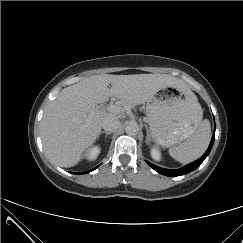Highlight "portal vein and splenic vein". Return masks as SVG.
Listing matches in <instances>:
<instances>
[{"instance_id": "1", "label": "portal vein and splenic vein", "mask_w": 243, "mask_h": 243, "mask_svg": "<svg viewBox=\"0 0 243 243\" xmlns=\"http://www.w3.org/2000/svg\"><path fill=\"white\" fill-rule=\"evenodd\" d=\"M107 109L110 111V112H113V113H121L122 112V108L118 105H114V104H110Z\"/></svg>"}]
</instances>
